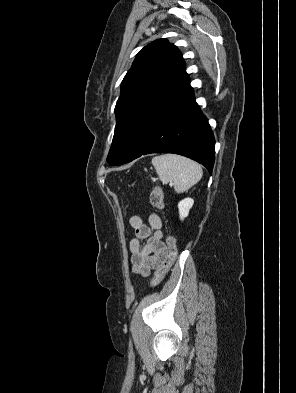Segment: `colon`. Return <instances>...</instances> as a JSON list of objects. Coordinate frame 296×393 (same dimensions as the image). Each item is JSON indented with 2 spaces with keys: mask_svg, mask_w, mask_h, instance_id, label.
<instances>
[{
  "mask_svg": "<svg viewBox=\"0 0 296 393\" xmlns=\"http://www.w3.org/2000/svg\"><path fill=\"white\" fill-rule=\"evenodd\" d=\"M150 202L152 206L156 209L164 208V194L158 185H156L150 195ZM177 254V247L175 238L169 234L166 238V257L157 267L155 274L151 280V286L156 287L161 283L164 276L167 274L171 268Z\"/></svg>",
  "mask_w": 296,
  "mask_h": 393,
  "instance_id": "1",
  "label": "colon"
}]
</instances>
